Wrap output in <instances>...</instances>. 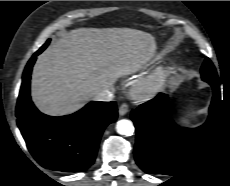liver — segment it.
<instances>
[{
	"mask_svg": "<svg viewBox=\"0 0 230 186\" xmlns=\"http://www.w3.org/2000/svg\"><path fill=\"white\" fill-rule=\"evenodd\" d=\"M154 37L130 28H78L61 35L38 58L31 96L51 116L68 115L154 56Z\"/></svg>",
	"mask_w": 230,
	"mask_h": 186,
	"instance_id": "6515ba94",
	"label": "liver"
}]
</instances>
